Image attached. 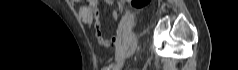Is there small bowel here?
Wrapping results in <instances>:
<instances>
[{"label": "small bowel", "instance_id": "small-bowel-1", "mask_svg": "<svg viewBox=\"0 0 238 70\" xmlns=\"http://www.w3.org/2000/svg\"><path fill=\"white\" fill-rule=\"evenodd\" d=\"M106 4H111L112 0H106ZM79 15L81 20L86 24H92L94 23V29H95V36L99 42V44L103 47H109L113 46L117 43V38L113 37L110 40L106 39L103 36L102 30H101V23L99 20V11L97 7L95 6L94 1H90L89 6L87 7H81L79 10ZM112 18H117V13L112 12Z\"/></svg>", "mask_w": 238, "mask_h": 70}]
</instances>
